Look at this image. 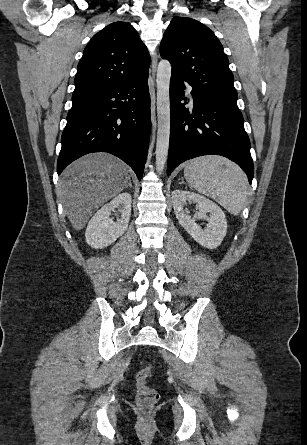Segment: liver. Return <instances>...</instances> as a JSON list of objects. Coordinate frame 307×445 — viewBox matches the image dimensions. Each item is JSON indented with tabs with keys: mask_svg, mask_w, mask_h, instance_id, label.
Listing matches in <instances>:
<instances>
[{
	"mask_svg": "<svg viewBox=\"0 0 307 445\" xmlns=\"http://www.w3.org/2000/svg\"><path fill=\"white\" fill-rule=\"evenodd\" d=\"M128 166L108 152H91L74 160L58 182L60 196L75 231H81L95 210L129 184Z\"/></svg>",
	"mask_w": 307,
	"mask_h": 445,
	"instance_id": "obj_1",
	"label": "liver"
}]
</instances>
